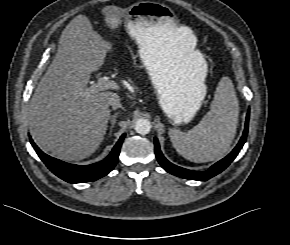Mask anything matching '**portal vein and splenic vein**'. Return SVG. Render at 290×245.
<instances>
[{"label": "portal vein and splenic vein", "mask_w": 290, "mask_h": 245, "mask_svg": "<svg viewBox=\"0 0 290 245\" xmlns=\"http://www.w3.org/2000/svg\"><path fill=\"white\" fill-rule=\"evenodd\" d=\"M115 85L113 82L108 81L106 78H101L98 80L97 84H92L90 86V91H102V90H107L114 88Z\"/></svg>", "instance_id": "portal-vein-and-splenic-vein-1"}]
</instances>
